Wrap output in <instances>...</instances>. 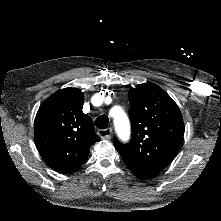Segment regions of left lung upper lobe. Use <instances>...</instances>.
Here are the masks:
<instances>
[{
	"label": "left lung upper lobe",
	"instance_id": "obj_1",
	"mask_svg": "<svg viewBox=\"0 0 221 221\" xmlns=\"http://www.w3.org/2000/svg\"><path fill=\"white\" fill-rule=\"evenodd\" d=\"M132 138L113 143L127 167L148 179L169 165L184 135L181 112L174 100L158 85L143 83L129 89Z\"/></svg>",
	"mask_w": 221,
	"mask_h": 221
}]
</instances>
